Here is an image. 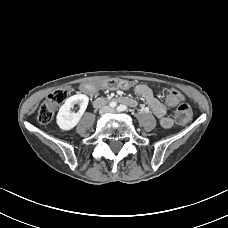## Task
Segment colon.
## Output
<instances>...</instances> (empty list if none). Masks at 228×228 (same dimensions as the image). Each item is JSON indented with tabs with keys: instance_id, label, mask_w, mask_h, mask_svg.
I'll return each mask as SVG.
<instances>
[{
	"instance_id": "colon-1",
	"label": "colon",
	"mask_w": 228,
	"mask_h": 228,
	"mask_svg": "<svg viewBox=\"0 0 228 228\" xmlns=\"http://www.w3.org/2000/svg\"><path fill=\"white\" fill-rule=\"evenodd\" d=\"M68 95L69 90L66 87L52 91L38 109L37 118L39 122L42 124L49 123L57 108L66 101ZM168 101L176 106L175 121L178 125H185L190 122L193 117L192 109L184 102V96L179 91L171 90Z\"/></svg>"
}]
</instances>
